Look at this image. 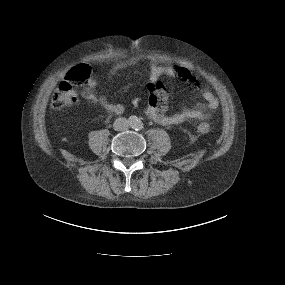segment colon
Listing matches in <instances>:
<instances>
[{
  "mask_svg": "<svg viewBox=\"0 0 285 285\" xmlns=\"http://www.w3.org/2000/svg\"><path fill=\"white\" fill-rule=\"evenodd\" d=\"M91 69L86 64L74 67L67 75L66 79L60 83L51 98V106L56 110L71 107L78 102V89L90 78ZM179 76H191V74L181 68L177 69ZM209 124L201 122L195 127L199 134L208 132Z\"/></svg>",
  "mask_w": 285,
  "mask_h": 285,
  "instance_id": "colon-1",
  "label": "colon"
}]
</instances>
